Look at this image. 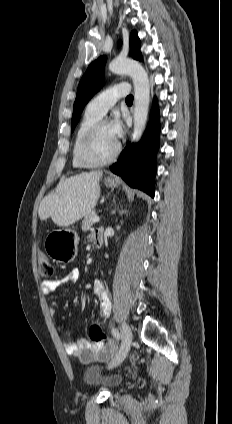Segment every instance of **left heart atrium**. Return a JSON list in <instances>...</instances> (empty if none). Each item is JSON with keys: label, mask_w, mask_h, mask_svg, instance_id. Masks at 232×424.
<instances>
[{"label": "left heart atrium", "mask_w": 232, "mask_h": 424, "mask_svg": "<svg viewBox=\"0 0 232 424\" xmlns=\"http://www.w3.org/2000/svg\"><path fill=\"white\" fill-rule=\"evenodd\" d=\"M109 126L114 138L118 141L124 134V126L122 120L120 119V117H115L109 123Z\"/></svg>", "instance_id": "39dd6f15"}]
</instances>
